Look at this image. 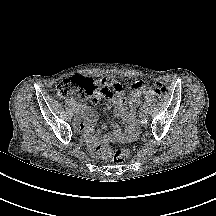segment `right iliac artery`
<instances>
[{"label": "right iliac artery", "instance_id": "82829eb1", "mask_svg": "<svg viewBox=\"0 0 216 216\" xmlns=\"http://www.w3.org/2000/svg\"><path fill=\"white\" fill-rule=\"evenodd\" d=\"M76 107H77V110L81 107V104L80 103H77L76 104Z\"/></svg>", "mask_w": 216, "mask_h": 216}]
</instances>
